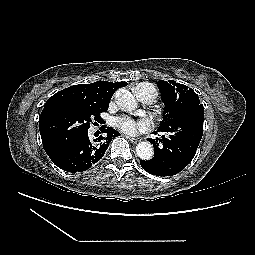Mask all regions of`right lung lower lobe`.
Here are the masks:
<instances>
[{"mask_svg":"<svg viewBox=\"0 0 255 255\" xmlns=\"http://www.w3.org/2000/svg\"><path fill=\"white\" fill-rule=\"evenodd\" d=\"M44 150L52 162L67 172H81L99 161L113 137L119 133L111 127H101L95 139H90L88 131L75 139L60 144L51 140L40 130Z\"/></svg>","mask_w":255,"mask_h":255,"instance_id":"98d812e1","label":"right lung lower lobe"}]
</instances>
